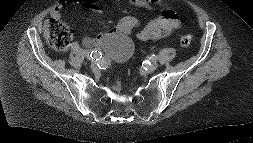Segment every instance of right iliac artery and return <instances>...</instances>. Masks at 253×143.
<instances>
[{
    "mask_svg": "<svg viewBox=\"0 0 253 143\" xmlns=\"http://www.w3.org/2000/svg\"><path fill=\"white\" fill-rule=\"evenodd\" d=\"M89 58L92 59V60H100L102 58V53L95 50V51H92L90 52L89 54Z\"/></svg>",
    "mask_w": 253,
    "mask_h": 143,
    "instance_id": "1",
    "label": "right iliac artery"
}]
</instances>
